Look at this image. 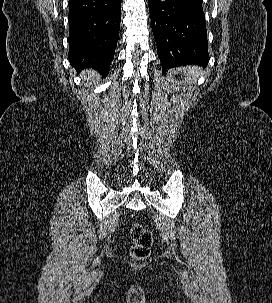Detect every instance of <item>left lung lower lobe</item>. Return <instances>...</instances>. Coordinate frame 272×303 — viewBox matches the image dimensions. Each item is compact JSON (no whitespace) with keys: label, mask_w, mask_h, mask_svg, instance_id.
<instances>
[{"label":"left lung lower lobe","mask_w":272,"mask_h":303,"mask_svg":"<svg viewBox=\"0 0 272 303\" xmlns=\"http://www.w3.org/2000/svg\"><path fill=\"white\" fill-rule=\"evenodd\" d=\"M162 71L209 61L202 0H148Z\"/></svg>","instance_id":"left-lung-lower-lobe-1"}]
</instances>
